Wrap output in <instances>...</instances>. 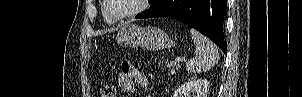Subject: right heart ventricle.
Wrapping results in <instances>:
<instances>
[{
    "label": "right heart ventricle",
    "instance_id": "right-heart-ventricle-1",
    "mask_svg": "<svg viewBox=\"0 0 302 97\" xmlns=\"http://www.w3.org/2000/svg\"><path fill=\"white\" fill-rule=\"evenodd\" d=\"M104 20H105L106 23H109V24H111V23L114 22V20H112V19H111L109 16H107L106 14L104 15Z\"/></svg>",
    "mask_w": 302,
    "mask_h": 97
}]
</instances>
